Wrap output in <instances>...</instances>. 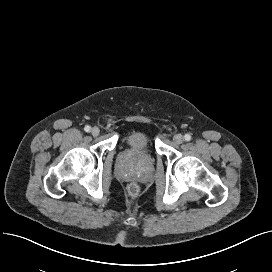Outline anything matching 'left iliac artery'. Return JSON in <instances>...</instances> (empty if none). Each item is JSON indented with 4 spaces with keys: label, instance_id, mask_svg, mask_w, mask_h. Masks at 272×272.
Wrapping results in <instances>:
<instances>
[{
    "label": "left iliac artery",
    "instance_id": "1",
    "mask_svg": "<svg viewBox=\"0 0 272 272\" xmlns=\"http://www.w3.org/2000/svg\"><path fill=\"white\" fill-rule=\"evenodd\" d=\"M184 139L186 141H190L191 140V135L190 134H185Z\"/></svg>",
    "mask_w": 272,
    "mask_h": 272
}]
</instances>
